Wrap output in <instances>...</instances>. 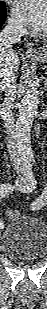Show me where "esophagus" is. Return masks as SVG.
Instances as JSON below:
<instances>
[{
  "mask_svg": "<svg viewBox=\"0 0 47 309\" xmlns=\"http://www.w3.org/2000/svg\"><path fill=\"white\" fill-rule=\"evenodd\" d=\"M25 53L28 56H33V55L37 54V50L34 47L33 43H31V42H27L26 43V45H25Z\"/></svg>",
  "mask_w": 47,
  "mask_h": 309,
  "instance_id": "esophagus-1",
  "label": "esophagus"
}]
</instances>
